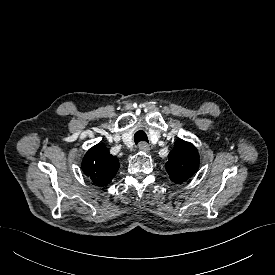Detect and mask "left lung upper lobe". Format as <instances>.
Wrapping results in <instances>:
<instances>
[{
	"mask_svg": "<svg viewBox=\"0 0 275 275\" xmlns=\"http://www.w3.org/2000/svg\"><path fill=\"white\" fill-rule=\"evenodd\" d=\"M168 159L165 165L166 171L170 179L177 184L189 179L199 168L197 149L182 139H178Z\"/></svg>",
	"mask_w": 275,
	"mask_h": 275,
	"instance_id": "obj_1",
	"label": "left lung upper lobe"
}]
</instances>
